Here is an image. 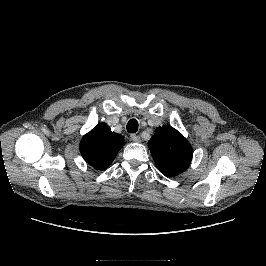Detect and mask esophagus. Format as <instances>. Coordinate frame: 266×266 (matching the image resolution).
<instances>
[{"mask_svg":"<svg viewBox=\"0 0 266 266\" xmlns=\"http://www.w3.org/2000/svg\"><path fill=\"white\" fill-rule=\"evenodd\" d=\"M130 139H131V141L136 142V143L141 142V138L136 134H131Z\"/></svg>","mask_w":266,"mask_h":266,"instance_id":"esophagus-1","label":"esophagus"}]
</instances>
